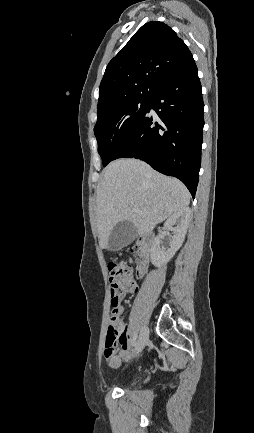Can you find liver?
Segmentation results:
<instances>
[{
  "label": "liver",
  "instance_id": "6515ba94",
  "mask_svg": "<svg viewBox=\"0 0 254 433\" xmlns=\"http://www.w3.org/2000/svg\"><path fill=\"white\" fill-rule=\"evenodd\" d=\"M189 203L190 193L179 180L137 159L115 160L105 168L97 187L99 245L109 249L111 231L121 221L133 223L137 233L143 235ZM135 208L141 213L134 212Z\"/></svg>",
  "mask_w": 254,
  "mask_h": 433
}]
</instances>
